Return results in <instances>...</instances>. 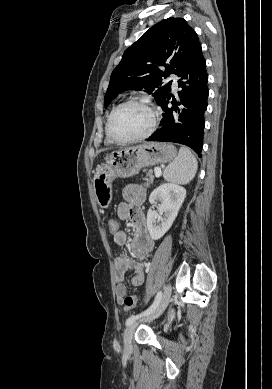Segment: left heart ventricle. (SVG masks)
Returning <instances> with one entry per match:
<instances>
[{"label":"left heart ventricle","instance_id":"b2bd125f","mask_svg":"<svg viewBox=\"0 0 272 389\" xmlns=\"http://www.w3.org/2000/svg\"><path fill=\"white\" fill-rule=\"evenodd\" d=\"M151 123L150 112L136 104L121 108L112 121L113 133L119 138H131L144 133Z\"/></svg>","mask_w":272,"mask_h":389}]
</instances>
